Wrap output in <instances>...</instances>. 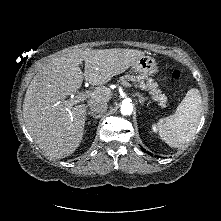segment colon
<instances>
[{
	"mask_svg": "<svg viewBox=\"0 0 221 221\" xmlns=\"http://www.w3.org/2000/svg\"><path fill=\"white\" fill-rule=\"evenodd\" d=\"M172 78H173L174 80H179V79L181 78L180 72H179L178 70H174V71L172 72Z\"/></svg>",
	"mask_w": 221,
	"mask_h": 221,
	"instance_id": "5ec220e1",
	"label": "colon"
}]
</instances>
